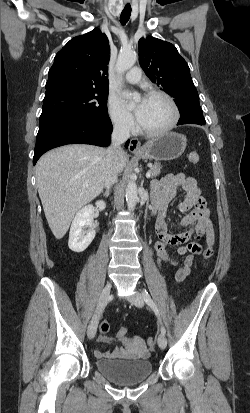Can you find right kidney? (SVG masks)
Wrapping results in <instances>:
<instances>
[{
    "mask_svg": "<svg viewBox=\"0 0 250 413\" xmlns=\"http://www.w3.org/2000/svg\"><path fill=\"white\" fill-rule=\"evenodd\" d=\"M96 206L100 210L106 208L104 201H97ZM94 218V206L88 204L81 208L74 217L69 234V248L74 252H83L93 241L95 237V229L93 225ZM88 227L89 229L84 231L83 229Z\"/></svg>",
    "mask_w": 250,
    "mask_h": 413,
    "instance_id": "ca27d5eb",
    "label": "right kidney"
}]
</instances>
